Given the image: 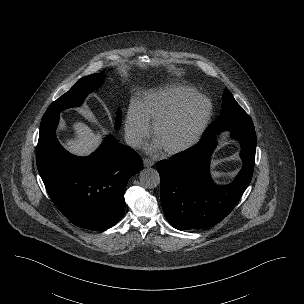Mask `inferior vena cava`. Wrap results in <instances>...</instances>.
Wrapping results in <instances>:
<instances>
[{"mask_svg": "<svg viewBox=\"0 0 304 304\" xmlns=\"http://www.w3.org/2000/svg\"><path fill=\"white\" fill-rule=\"evenodd\" d=\"M125 141L127 145L132 148H139L142 144L141 136L139 134L131 132L125 135Z\"/></svg>", "mask_w": 304, "mask_h": 304, "instance_id": "inferior-vena-cava-1", "label": "inferior vena cava"}]
</instances>
